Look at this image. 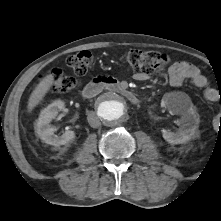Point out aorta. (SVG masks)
<instances>
[{"mask_svg": "<svg viewBox=\"0 0 221 221\" xmlns=\"http://www.w3.org/2000/svg\"><path fill=\"white\" fill-rule=\"evenodd\" d=\"M128 111L126 100L116 94L108 93L102 96L97 104V114L106 124H118L122 122Z\"/></svg>", "mask_w": 221, "mask_h": 221, "instance_id": "aorta-1", "label": "aorta"}]
</instances>
